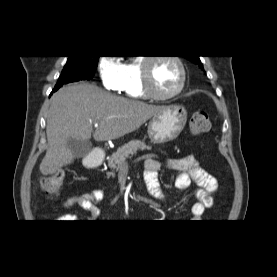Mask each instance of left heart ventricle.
I'll list each match as a JSON object with an SVG mask.
<instances>
[{"label": "left heart ventricle", "instance_id": "obj_1", "mask_svg": "<svg viewBox=\"0 0 277 277\" xmlns=\"http://www.w3.org/2000/svg\"><path fill=\"white\" fill-rule=\"evenodd\" d=\"M180 81L178 66L171 60L159 59L152 66V84L155 91L165 95L174 91Z\"/></svg>", "mask_w": 277, "mask_h": 277}]
</instances>
